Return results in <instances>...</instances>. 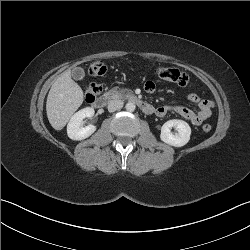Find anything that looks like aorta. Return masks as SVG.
Returning a JSON list of instances; mask_svg holds the SVG:
<instances>
[{
	"label": "aorta",
	"mask_w": 250,
	"mask_h": 250,
	"mask_svg": "<svg viewBox=\"0 0 250 250\" xmlns=\"http://www.w3.org/2000/svg\"><path fill=\"white\" fill-rule=\"evenodd\" d=\"M126 110L129 112H133L136 108L135 104L133 102H128L125 106Z\"/></svg>",
	"instance_id": "762f6f07"
}]
</instances>
